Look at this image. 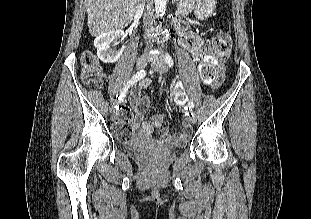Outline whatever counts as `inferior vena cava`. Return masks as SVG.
<instances>
[{"label":"inferior vena cava","mask_w":311,"mask_h":219,"mask_svg":"<svg viewBox=\"0 0 311 219\" xmlns=\"http://www.w3.org/2000/svg\"><path fill=\"white\" fill-rule=\"evenodd\" d=\"M153 21V10L151 5H147L146 11L144 14V25L150 26Z\"/></svg>","instance_id":"inferior-vena-cava-1"}]
</instances>
